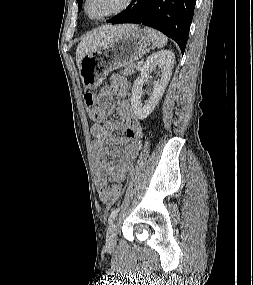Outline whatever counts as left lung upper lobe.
Returning a JSON list of instances; mask_svg holds the SVG:
<instances>
[{
	"mask_svg": "<svg viewBox=\"0 0 253 285\" xmlns=\"http://www.w3.org/2000/svg\"><path fill=\"white\" fill-rule=\"evenodd\" d=\"M77 2H78L79 10H80L82 6V0H77Z\"/></svg>",
	"mask_w": 253,
	"mask_h": 285,
	"instance_id": "obj_1",
	"label": "left lung upper lobe"
}]
</instances>
